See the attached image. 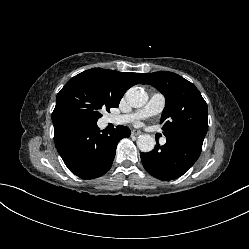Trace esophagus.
Instances as JSON below:
<instances>
[{"instance_id":"34e87169","label":"esophagus","mask_w":249,"mask_h":249,"mask_svg":"<svg viewBox=\"0 0 249 249\" xmlns=\"http://www.w3.org/2000/svg\"><path fill=\"white\" fill-rule=\"evenodd\" d=\"M131 134H132V135H135V136H138V135L141 134V131H139L138 129H133V130L131 131Z\"/></svg>"}]
</instances>
